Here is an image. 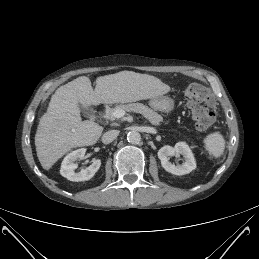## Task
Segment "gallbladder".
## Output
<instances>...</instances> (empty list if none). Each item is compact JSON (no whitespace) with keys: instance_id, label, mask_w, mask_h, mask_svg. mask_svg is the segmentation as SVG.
Returning a JSON list of instances; mask_svg holds the SVG:
<instances>
[{"instance_id":"1","label":"gallbladder","mask_w":259,"mask_h":259,"mask_svg":"<svg viewBox=\"0 0 259 259\" xmlns=\"http://www.w3.org/2000/svg\"><path fill=\"white\" fill-rule=\"evenodd\" d=\"M81 107V111L83 113V115L87 118H92L95 115V110L92 107Z\"/></svg>"}]
</instances>
